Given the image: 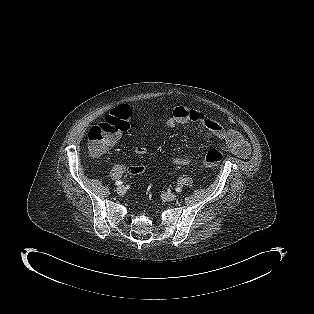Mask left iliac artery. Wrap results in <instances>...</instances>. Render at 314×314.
<instances>
[{
	"instance_id": "left-iliac-artery-1",
	"label": "left iliac artery",
	"mask_w": 314,
	"mask_h": 314,
	"mask_svg": "<svg viewBox=\"0 0 314 314\" xmlns=\"http://www.w3.org/2000/svg\"><path fill=\"white\" fill-rule=\"evenodd\" d=\"M176 192L180 193L182 191L181 187H176L175 188Z\"/></svg>"
}]
</instances>
